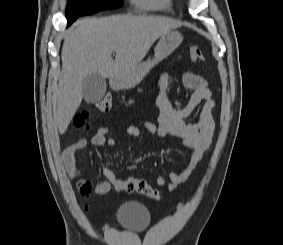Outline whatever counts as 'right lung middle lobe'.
Returning <instances> with one entry per match:
<instances>
[{"label": "right lung middle lobe", "mask_w": 283, "mask_h": 245, "mask_svg": "<svg viewBox=\"0 0 283 245\" xmlns=\"http://www.w3.org/2000/svg\"><path fill=\"white\" fill-rule=\"evenodd\" d=\"M123 0H69L66 7L68 26L79 16L121 7Z\"/></svg>", "instance_id": "obj_1"}]
</instances>
